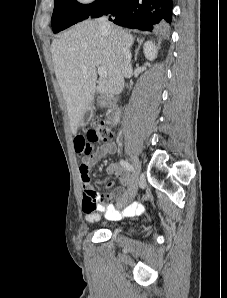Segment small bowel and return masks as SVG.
Masks as SVG:
<instances>
[{
	"instance_id": "c3829d8e",
	"label": "small bowel",
	"mask_w": 227,
	"mask_h": 298,
	"mask_svg": "<svg viewBox=\"0 0 227 298\" xmlns=\"http://www.w3.org/2000/svg\"><path fill=\"white\" fill-rule=\"evenodd\" d=\"M75 138L76 139H73V146L75 147L76 157L83 158L79 170L82 187V208L86 221L93 222L97 220L100 213H104L112 220L142 213L144 209L143 205L135 202L128 204L121 212H119L112 204H108L90 184L88 176L89 168L106 155L115 153L117 150L116 144L113 141L103 143L93 150V143L85 142L87 134H76ZM106 171L110 175L117 176L126 185V188L119 187L115 189L112 193L106 196V199L127 203L132 186L131 178L119 165L114 163L108 165Z\"/></svg>"
}]
</instances>
